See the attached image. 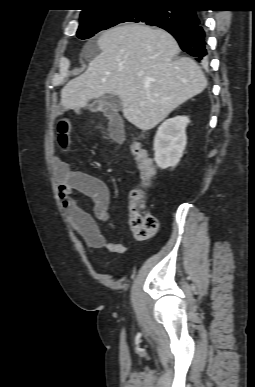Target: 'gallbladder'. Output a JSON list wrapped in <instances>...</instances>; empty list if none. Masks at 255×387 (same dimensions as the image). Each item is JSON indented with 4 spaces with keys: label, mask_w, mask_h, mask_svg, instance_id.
<instances>
[{
    "label": "gallbladder",
    "mask_w": 255,
    "mask_h": 387,
    "mask_svg": "<svg viewBox=\"0 0 255 387\" xmlns=\"http://www.w3.org/2000/svg\"><path fill=\"white\" fill-rule=\"evenodd\" d=\"M93 105H97V109H100L102 111H106L111 106L119 108L120 107V100L116 95L101 96L95 100Z\"/></svg>",
    "instance_id": "gallbladder-1"
}]
</instances>
